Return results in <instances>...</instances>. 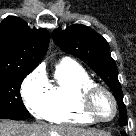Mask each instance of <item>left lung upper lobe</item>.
Wrapping results in <instances>:
<instances>
[{
  "label": "left lung upper lobe",
  "instance_id": "obj_1",
  "mask_svg": "<svg viewBox=\"0 0 136 136\" xmlns=\"http://www.w3.org/2000/svg\"><path fill=\"white\" fill-rule=\"evenodd\" d=\"M55 43L66 53L88 64L110 87L119 107L120 126L127 124L121 85L118 81L115 61L111 58L108 42L97 32L84 25H72L52 33Z\"/></svg>",
  "mask_w": 136,
  "mask_h": 136
}]
</instances>
